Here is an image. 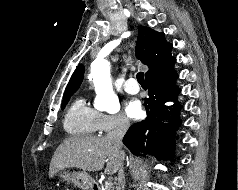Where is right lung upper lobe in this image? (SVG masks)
I'll list each match as a JSON object with an SVG mask.
<instances>
[{"label": "right lung upper lobe", "mask_w": 238, "mask_h": 190, "mask_svg": "<svg viewBox=\"0 0 238 190\" xmlns=\"http://www.w3.org/2000/svg\"><path fill=\"white\" fill-rule=\"evenodd\" d=\"M139 35L136 42V57L149 67L145 78H149L171 64L175 59L171 56L172 44L165 40L164 33H159L149 27L138 26ZM84 74V66L80 64L73 73L65 91L71 94L79 88Z\"/></svg>", "instance_id": "obj_1"}]
</instances>
